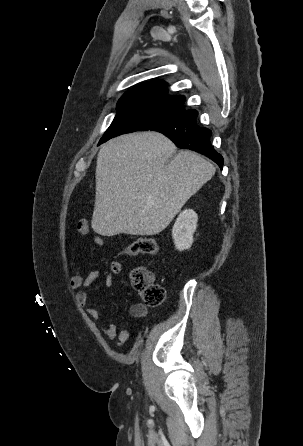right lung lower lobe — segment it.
I'll use <instances>...</instances> for the list:
<instances>
[{
    "label": "right lung lower lobe",
    "instance_id": "98d812e1",
    "mask_svg": "<svg viewBox=\"0 0 303 446\" xmlns=\"http://www.w3.org/2000/svg\"><path fill=\"white\" fill-rule=\"evenodd\" d=\"M198 112L185 108L158 118L146 125L141 131L154 130L170 138L178 148L190 149L201 153L222 169L223 157L210 143L211 130L197 125Z\"/></svg>",
    "mask_w": 303,
    "mask_h": 446
}]
</instances>
